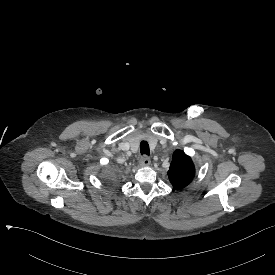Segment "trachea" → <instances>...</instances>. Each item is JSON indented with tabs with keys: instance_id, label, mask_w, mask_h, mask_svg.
Here are the masks:
<instances>
[{
	"instance_id": "1",
	"label": "trachea",
	"mask_w": 275,
	"mask_h": 275,
	"mask_svg": "<svg viewBox=\"0 0 275 275\" xmlns=\"http://www.w3.org/2000/svg\"><path fill=\"white\" fill-rule=\"evenodd\" d=\"M140 152H141V155H147V156L150 155L149 144L146 141H141Z\"/></svg>"
}]
</instances>
